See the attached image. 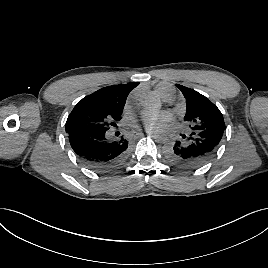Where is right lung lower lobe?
<instances>
[{"label":"right lung lower lobe","instance_id":"1","mask_svg":"<svg viewBox=\"0 0 268 268\" xmlns=\"http://www.w3.org/2000/svg\"><path fill=\"white\" fill-rule=\"evenodd\" d=\"M68 135L70 145L80 161L97 172L117 169L127 154L128 141L123 136L111 139L107 131H70Z\"/></svg>","mask_w":268,"mask_h":268}]
</instances>
